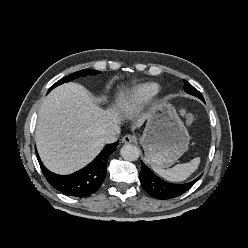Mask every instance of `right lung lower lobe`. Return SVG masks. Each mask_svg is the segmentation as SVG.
<instances>
[{"label":"right lung lower lobe","instance_id":"obj_1","mask_svg":"<svg viewBox=\"0 0 248 248\" xmlns=\"http://www.w3.org/2000/svg\"><path fill=\"white\" fill-rule=\"evenodd\" d=\"M118 142L108 144L101 153L86 167L70 175H57L50 172L41 162L36 151L41 170L54 188L75 197H86L93 194L101 186L107 171V160L116 149Z\"/></svg>","mask_w":248,"mask_h":248}]
</instances>
